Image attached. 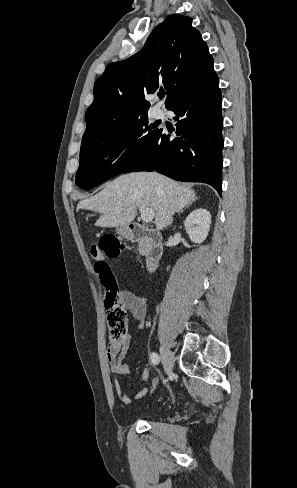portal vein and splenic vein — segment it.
<instances>
[{"label": "portal vein and splenic vein", "instance_id": "1", "mask_svg": "<svg viewBox=\"0 0 297 488\" xmlns=\"http://www.w3.org/2000/svg\"><path fill=\"white\" fill-rule=\"evenodd\" d=\"M139 211L141 213V218L144 222H151L154 218V210L152 208H146L144 206H139Z\"/></svg>", "mask_w": 297, "mask_h": 488}]
</instances>
